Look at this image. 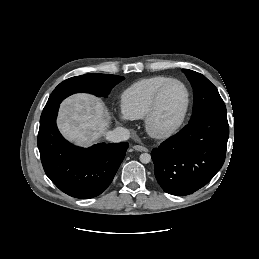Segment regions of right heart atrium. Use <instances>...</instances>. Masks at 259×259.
<instances>
[{"mask_svg": "<svg viewBox=\"0 0 259 259\" xmlns=\"http://www.w3.org/2000/svg\"><path fill=\"white\" fill-rule=\"evenodd\" d=\"M130 118L126 116L123 112L119 115V120L122 122H127Z\"/></svg>", "mask_w": 259, "mask_h": 259, "instance_id": "obj_1", "label": "right heart atrium"}]
</instances>
